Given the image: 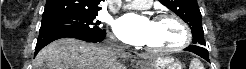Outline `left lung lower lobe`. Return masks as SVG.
Returning <instances> with one entry per match:
<instances>
[{
    "label": "left lung lower lobe",
    "mask_w": 246,
    "mask_h": 69,
    "mask_svg": "<svg viewBox=\"0 0 246 69\" xmlns=\"http://www.w3.org/2000/svg\"><path fill=\"white\" fill-rule=\"evenodd\" d=\"M184 50L193 52V53L199 55L200 57L204 58L208 62L210 61L209 56H208V51L205 48H203L202 46L190 45L187 48H185Z\"/></svg>",
    "instance_id": "obj_1"
}]
</instances>
